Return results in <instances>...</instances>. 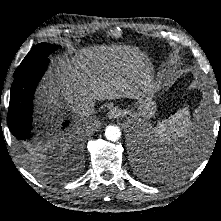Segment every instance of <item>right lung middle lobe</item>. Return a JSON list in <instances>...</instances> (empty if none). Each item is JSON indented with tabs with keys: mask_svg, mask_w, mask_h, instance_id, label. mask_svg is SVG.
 Here are the masks:
<instances>
[{
	"mask_svg": "<svg viewBox=\"0 0 221 221\" xmlns=\"http://www.w3.org/2000/svg\"><path fill=\"white\" fill-rule=\"evenodd\" d=\"M57 47L48 44V43H40L32 48V50L27 54L22 63L19 65L17 70L15 71L13 76L18 75L24 69L28 68L32 64L47 58L52 52L56 51Z\"/></svg>",
	"mask_w": 221,
	"mask_h": 221,
	"instance_id": "dd1d6c3e",
	"label": "right lung middle lobe"
}]
</instances>
